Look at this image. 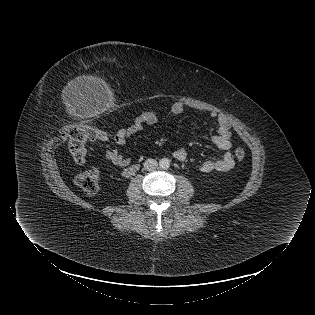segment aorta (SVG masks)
I'll return each mask as SVG.
<instances>
[{"mask_svg": "<svg viewBox=\"0 0 315 315\" xmlns=\"http://www.w3.org/2000/svg\"><path fill=\"white\" fill-rule=\"evenodd\" d=\"M159 166L162 169H168L170 167V160L168 158L160 159Z\"/></svg>", "mask_w": 315, "mask_h": 315, "instance_id": "762f6f07", "label": "aorta"}]
</instances>
